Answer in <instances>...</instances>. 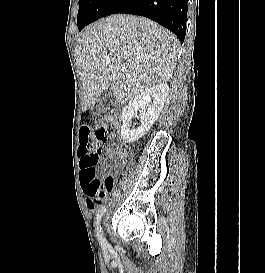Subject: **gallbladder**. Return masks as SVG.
<instances>
[{
	"label": "gallbladder",
	"instance_id": "obj_1",
	"mask_svg": "<svg viewBox=\"0 0 265 273\" xmlns=\"http://www.w3.org/2000/svg\"><path fill=\"white\" fill-rule=\"evenodd\" d=\"M119 109V103L116 101L111 89L106 90L98 98L93 108V116L97 120H109Z\"/></svg>",
	"mask_w": 265,
	"mask_h": 273
}]
</instances>
